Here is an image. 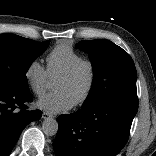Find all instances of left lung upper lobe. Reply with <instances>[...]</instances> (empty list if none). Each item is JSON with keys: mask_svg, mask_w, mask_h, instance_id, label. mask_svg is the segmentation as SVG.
<instances>
[{"mask_svg": "<svg viewBox=\"0 0 156 156\" xmlns=\"http://www.w3.org/2000/svg\"><path fill=\"white\" fill-rule=\"evenodd\" d=\"M76 46L89 54L94 72L93 84L82 108L108 100L138 104L136 68L127 52L104 39L83 40Z\"/></svg>", "mask_w": 156, "mask_h": 156, "instance_id": "5c2ea615", "label": "left lung upper lobe"}]
</instances>
